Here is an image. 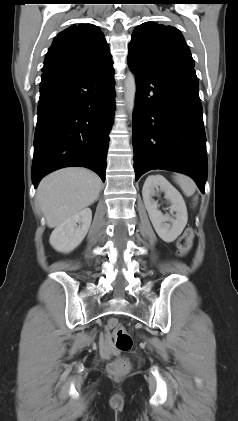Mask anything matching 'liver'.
Returning a JSON list of instances; mask_svg holds the SVG:
<instances>
[{"label":"liver","mask_w":238,"mask_h":421,"mask_svg":"<svg viewBox=\"0 0 238 421\" xmlns=\"http://www.w3.org/2000/svg\"><path fill=\"white\" fill-rule=\"evenodd\" d=\"M101 179L85 168H64L44 177L37 189V203L48 227L54 228L94 203Z\"/></svg>","instance_id":"liver-1"}]
</instances>
